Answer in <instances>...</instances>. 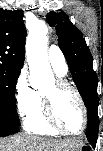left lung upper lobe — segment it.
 I'll use <instances>...</instances> for the list:
<instances>
[{"mask_svg": "<svg viewBox=\"0 0 103 151\" xmlns=\"http://www.w3.org/2000/svg\"><path fill=\"white\" fill-rule=\"evenodd\" d=\"M46 19L50 26L56 28L59 47L85 106L89 108L91 101L97 96L98 77L93 70V58L83 34L72 24L65 12L51 11Z\"/></svg>", "mask_w": 103, "mask_h": 151, "instance_id": "left-lung-upper-lobe-1", "label": "left lung upper lobe"}]
</instances>
